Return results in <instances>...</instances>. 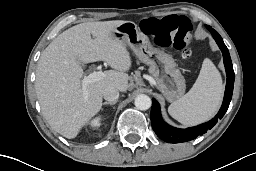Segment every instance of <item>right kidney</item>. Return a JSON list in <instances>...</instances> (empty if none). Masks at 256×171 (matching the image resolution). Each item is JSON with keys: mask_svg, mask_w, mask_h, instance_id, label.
Instances as JSON below:
<instances>
[{"mask_svg": "<svg viewBox=\"0 0 256 171\" xmlns=\"http://www.w3.org/2000/svg\"><path fill=\"white\" fill-rule=\"evenodd\" d=\"M90 125L92 128H98L101 125V117H96L95 119L91 120Z\"/></svg>", "mask_w": 256, "mask_h": 171, "instance_id": "right-kidney-1", "label": "right kidney"}]
</instances>
